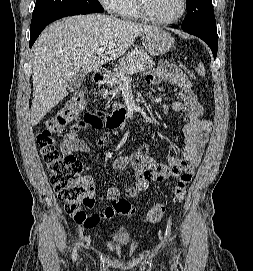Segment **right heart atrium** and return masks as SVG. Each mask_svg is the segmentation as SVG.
<instances>
[{"label":"right heart atrium","instance_id":"1","mask_svg":"<svg viewBox=\"0 0 253 271\" xmlns=\"http://www.w3.org/2000/svg\"><path fill=\"white\" fill-rule=\"evenodd\" d=\"M110 13H119L124 0H99Z\"/></svg>","mask_w":253,"mask_h":271}]
</instances>
